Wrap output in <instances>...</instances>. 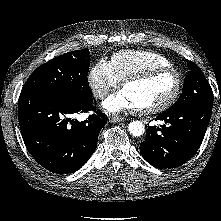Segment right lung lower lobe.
<instances>
[{
    "label": "right lung lower lobe",
    "instance_id": "1",
    "mask_svg": "<svg viewBox=\"0 0 221 221\" xmlns=\"http://www.w3.org/2000/svg\"><path fill=\"white\" fill-rule=\"evenodd\" d=\"M19 124L32 157L54 173H73L91 157L100 130L106 124L101 112L79 122L70 117L94 109L93 100H79L51 91H30L19 97Z\"/></svg>",
    "mask_w": 221,
    "mask_h": 221
}]
</instances>
